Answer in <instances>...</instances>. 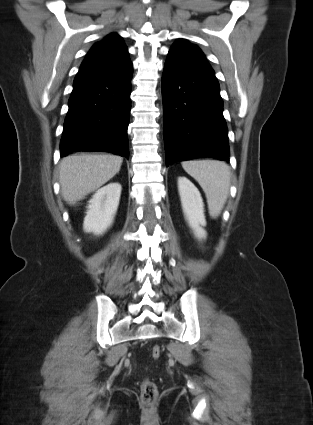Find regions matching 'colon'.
<instances>
[{
  "mask_svg": "<svg viewBox=\"0 0 313 425\" xmlns=\"http://www.w3.org/2000/svg\"><path fill=\"white\" fill-rule=\"evenodd\" d=\"M162 349L159 345H155L151 349V356L153 359H158L161 356ZM141 399L144 404L152 405L156 402L158 397V390L156 384L151 380H144L141 384Z\"/></svg>",
  "mask_w": 313,
  "mask_h": 425,
  "instance_id": "5ec220e1",
  "label": "colon"
}]
</instances>
